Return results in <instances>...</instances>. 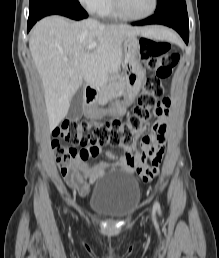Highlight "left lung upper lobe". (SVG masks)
Returning <instances> with one entry per match:
<instances>
[{"instance_id": "obj_1", "label": "left lung upper lobe", "mask_w": 219, "mask_h": 258, "mask_svg": "<svg viewBox=\"0 0 219 258\" xmlns=\"http://www.w3.org/2000/svg\"><path fill=\"white\" fill-rule=\"evenodd\" d=\"M172 7H186L185 0H157V8L155 13H159L165 9Z\"/></svg>"}]
</instances>
